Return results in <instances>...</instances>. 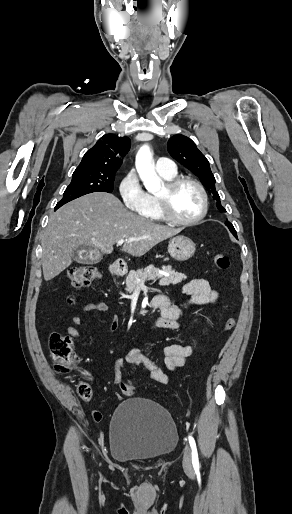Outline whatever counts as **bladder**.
Wrapping results in <instances>:
<instances>
[{
    "label": "bladder",
    "instance_id": "31cf9c89",
    "mask_svg": "<svg viewBox=\"0 0 292 514\" xmlns=\"http://www.w3.org/2000/svg\"><path fill=\"white\" fill-rule=\"evenodd\" d=\"M110 451L119 461H149L170 453L178 442L167 409L148 399L132 398L115 409L109 430Z\"/></svg>",
    "mask_w": 292,
    "mask_h": 514
}]
</instances>
